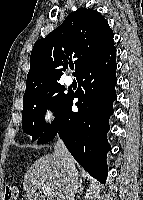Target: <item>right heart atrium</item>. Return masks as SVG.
<instances>
[{
	"label": "right heart atrium",
	"instance_id": "d8ad5b80",
	"mask_svg": "<svg viewBox=\"0 0 143 200\" xmlns=\"http://www.w3.org/2000/svg\"><path fill=\"white\" fill-rule=\"evenodd\" d=\"M55 119V109L52 104H46L41 111V123L44 128L49 127Z\"/></svg>",
	"mask_w": 143,
	"mask_h": 200
}]
</instances>
